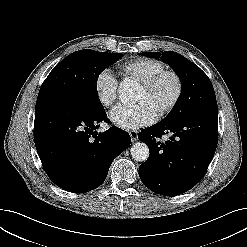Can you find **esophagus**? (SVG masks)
<instances>
[{"mask_svg":"<svg viewBox=\"0 0 247 247\" xmlns=\"http://www.w3.org/2000/svg\"><path fill=\"white\" fill-rule=\"evenodd\" d=\"M129 135L131 137L132 142H135L138 140V131L136 130L129 131Z\"/></svg>","mask_w":247,"mask_h":247,"instance_id":"34e87169","label":"esophagus"}]
</instances>
